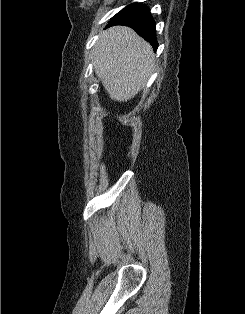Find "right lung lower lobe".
<instances>
[{"label":"right lung lower lobe","mask_w":245,"mask_h":314,"mask_svg":"<svg viewBox=\"0 0 245 314\" xmlns=\"http://www.w3.org/2000/svg\"><path fill=\"white\" fill-rule=\"evenodd\" d=\"M113 25H126L133 28L153 46L154 50L157 49L155 22L150 15L149 8L143 4L132 3L126 6L111 19L108 27Z\"/></svg>","instance_id":"right-lung-lower-lobe-1"}]
</instances>
